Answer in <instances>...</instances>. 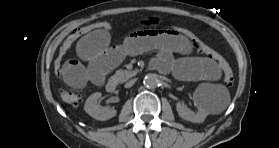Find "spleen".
Instances as JSON below:
<instances>
[{
	"label": "spleen",
	"mask_w": 279,
	"mask_h": 148,
	"mask_svg": "<svg viewBox=\"0 0 279 148\" xmlns=\"http://www.w3.org/2000/svg\"><path fill=\"white\" fill-rule=\"evenodd\" d=\"M197 91L212 114L223 112L230 103V95L223 85H200Z\"/></svg>",
	"instance_id": "spleen-1"
}]
</instances>
